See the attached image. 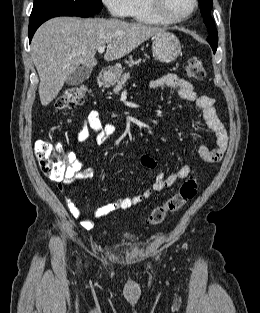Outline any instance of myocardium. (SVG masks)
Returning a JSON list of instances; mask_svg holds the SVG:
<instances>
[{"instance_id":"myocardium-1","label":"myocardium","mask_w":260,"mask_h":313,"mask_svg":"<svg viewBox=\"0 0 260 313\" xmlns=\"http://www.w3.org/2000/svg\"><path fill=\"white\" fill-rule=\"evenodd\" d=\"M148 6L152 14L164 24H177L185 21L192 16L198 9V0H193L192 8L178 17H170L166 15L162 9V0H147Z\"/></svg>"}]
</instances>
